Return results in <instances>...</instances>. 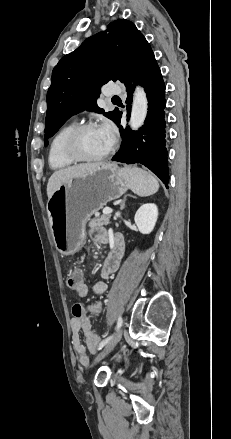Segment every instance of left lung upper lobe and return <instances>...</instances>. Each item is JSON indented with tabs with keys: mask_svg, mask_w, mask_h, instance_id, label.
I'll return each instance as SVG.
<instances>
[{
	"mask_svg": "<svg viewBox=\"0 0 231 439\" xmlns=\"http://www.w3.org/2000/svg\"><path fill=\"white\" fill-rule=\"evenodd\" d=\"M148 47L132 22L119 19L62 57L47 93L45 145L68 118L83 110L104 113L115 122L118 109L105 113L97 106L100 87L110 80L125 83Z\"/></svg>",
	"mask_w": 231,
	"mask_h": 439,
	"instance_id": "obj_1",
	"label": "left lung upper lobe"
}]
</instances>
